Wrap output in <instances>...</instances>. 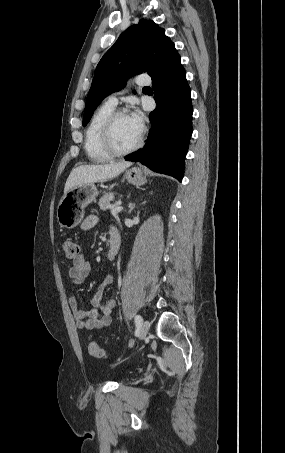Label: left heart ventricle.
Wrapping results in <instances>:
<instances>
[{
	"label": "left heart ventricle",
	"instance_id": "left-heart-ventricle-1",
	"mask_svg": "<svg viewBox=\"0 0 285 453\" xmlns=\"http://www.w3.org/2000/svg\"><path fill=\"white\" fill-rule=\"evenodd\" d=\"M140 133L141 129L133 122L130 115L121 116L114 126L115 145L119 149H126L137 142Z\"/></svg>",
	"mask_w": 285,
	"mask_h": 453
}]
</instances>
